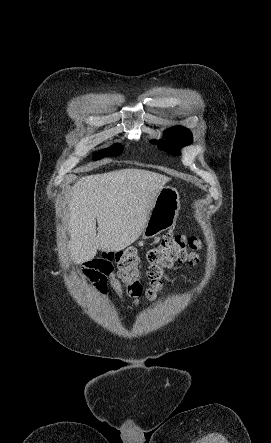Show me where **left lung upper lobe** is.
<instances>
[{
    "label": "left lung upper lobe",
    "instance_id": "5c2ea615",
    "mask_svg": "<svg viewBox=\"0 0 271 443\" xmlns=\"http://www.w3.org/2000/svg\"><path fill=\"white\" fill-rule=\"evenodd\" d=\"M164 136L174 144L170 145L168 142L152 141L153 144L158 145L161 150L168 151L170 154L179 155V148L192 143L193 137L189 129L177 126L167 129Z\"/></svg>",
    "mask_w": 271,
    "mask_h": 443
}]
</instances>
